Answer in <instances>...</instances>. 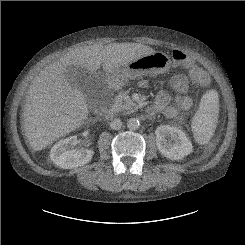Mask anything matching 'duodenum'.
<instances>
[{"mask_svg":"<svg viewBox=\"0 0 245 245\" xmlns=\"http://www.w3.org/2000/svg\"><path fill=\"white\" fill-rule=\"evenodd\" d=\"M120 88V82L116 77H112L110 79L109 89L112 93H116ZM104 116L107 119H111L115 116L114 108L110 107L107 111H105Z\"/></svg>","mask_w":245,"mask_h":245,"instance_id":"obj_1","label":"duodenum"}]
</instances>
